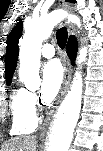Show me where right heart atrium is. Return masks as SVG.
I'll return each instance as SVG.
<instances>
[{"label":"right heart atrium","mask_w":103,"mask_h":151,"mask_svg":"<svg viewBox=\"0 0 103 151\" xmlns=\"http://www.w3.org/2000/svg\"><path fill=\"white\" fill-rule=\"evenodd\" d=\"M28 104L32 111L36 114L39 104L35 94L32 92H28Z\"/></svg>","instance_id":"right-heart-atrium-1"}]
</instances>
